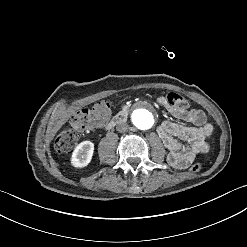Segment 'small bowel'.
Here are the masks:
<instances>
[{"label":"small bowel","instance_id":"c3829d8e","mask_svg":"<svg viewBox=\"0 0 247 247\" xmlns=\"http://www.w3.org/2000/svg\"><path fill=\"white\" fill-rule=\"evenodd\" d=\"M162 104L165 100L161 99ZM173 114L181 121L189 122L194 126H184L171 121H163L158 126L157 132L164 146L169 151L167 161L175 169L187 168L197 156L206 154L209 151V145L206 138L209 136L206 132V116L203 111L193 109H175L171 108Z\"/></svg>","mask_w":247,"mask_h":247}]
</instances>
